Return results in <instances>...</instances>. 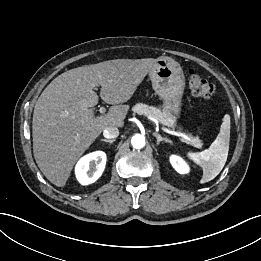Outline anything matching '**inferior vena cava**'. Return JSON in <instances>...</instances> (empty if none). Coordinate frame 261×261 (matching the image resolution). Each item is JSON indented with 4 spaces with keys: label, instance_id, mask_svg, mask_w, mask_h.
Returning a JSON list of instances; mask_svg holds the SVG:
<instances>
[{
    "label": "inferior vena cava",
    "instance_id": "inferior-vena-cava-1",
    "mask_svg": "<svg viewBox=\"0 0 261 261\" xmlns=\"http://www.w3.org/2000/svg\"><path fill=\"white\" fill-rule=\"evenodd\" d=\"M103 135L107 139H114L119 135V129L117 127L109 126L104 129Z\"/></svg>",
    "mask_w": 261,
    "mask_h": 261
}]
</instances>
